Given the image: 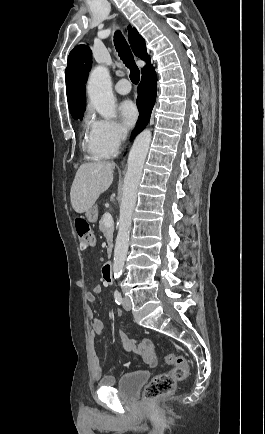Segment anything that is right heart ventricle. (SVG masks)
I'll use <instances>...</instances> for the list:
<instances>
[{"mask_svg": "<svg viewBox=\"0 0 265 434\" xmlns=\"http://www.w3.org/2000/svg\"><path fill=\"white\" fill-rule=\"evenodd\" d=\"M88 122H89L88 116L85 115L83 119V124L85 127L88 125ZM90 146L91 145H90L89 135L88 132H86L83 137L82 147L84 151L88 154V158L92 161H101V160L108 159L107 157H105V154H91L89 151Z\"/></svg>", "mask_w": 265, "mask_h": 434, "instance_id": "1", "label": "right heart ventricle"}]
</instances>
